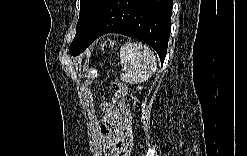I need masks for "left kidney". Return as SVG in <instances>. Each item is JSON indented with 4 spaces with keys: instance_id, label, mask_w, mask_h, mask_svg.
Returning a JSON list of instances; mask_svg holds the SVG:
<instances>
[{
    "instance_id": "1",
    "label": "left kidney",
    "mask_w": 247,
    "mask_h": 156,
    "mask_svg": "<svg viewBox=\"0 0 247 156\" xmlns=\"http://www.w3.org/2000/svg\"><path fill=\"white\" fill-rule=\"evenodd\" d=\"M142 88H143L142 86L137 87L138 90H142Z\"/></svg>"
}]
</instances>
